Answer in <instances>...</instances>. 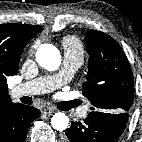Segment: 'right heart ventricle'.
<instances>
[{"label": "right heart ventricle", "instance_id": "e07e8e85", "mask_svg": "<svg viewBox=\"0 0 142 142\" xmlns=\"http://www.w3.org/2000/svg\"><path fill=\"white\" fill-rule=\"evenodd\" d=\"M63 47L66 53L75 54L81 56L83 48L80 40L75 36H68L63 40Z\"/></svg>", "mask_w": 142, "mask_h": 142}]
</instances>
